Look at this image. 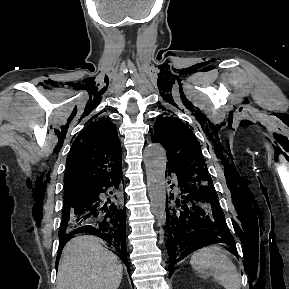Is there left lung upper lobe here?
<instances>
[{
    "mask_svg": "<svg viewBox=\"0 0 289 289\" xmlns=\"http://www.w3.org/2000/svg\"><path fill=\"white\" fill-rule=\"evenodd\" d=\"M152 141L161 143L167 151L170 170L213 186L200 144L185 123L173 117L158 116Z\"/></svg>",
    "mask_w": 289,
    "mask_h": 289,
    "instance_id": "5c2ea615",
    "label": "left lung upper lobe"
}]
</instances>
